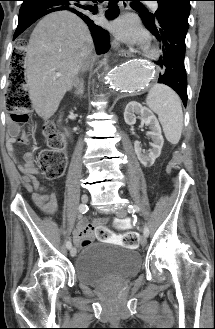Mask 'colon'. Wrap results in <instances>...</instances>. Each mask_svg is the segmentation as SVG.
<instances>
[{"label":"colon","instance_id":"5ec220e1","mask_svg":"<svg viewBox=\"0 0 215 329\" xmlns=\"http://www.w3.org/2000/svg\"><path fill=\"white\" fill-rule=\"evenodd\" d=\"M18 44H31V37H18ZM26 56L23 55L21 48L15 51V55L11 56L10 82L6 93V105L12 113V119L19 123H26L32 110V103L25 85V75L23 68L25 67ZM43 134L47 138L48 147L43 149L37 157V165L48 180L60 178L66 168V155L63 151L64 140L57 133L52 123H46L43 126ZM115 225L120 230L127 228V222L124 220H116ZM113 235V233H112ZM138 235L134 232H126L122 236V245L126 248L135 249L138 246ZM84 244H88L90 240L85 237Z\"/></svg>","mask_w":215,"mask_h":329}]
</instances>
